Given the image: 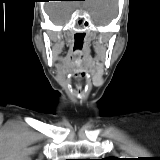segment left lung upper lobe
I'll return each instance as SVG.
<instances>
[{
    "mask_svg": "<svg viewBox=\"0 0 160 160\" xmlns=\"http://www.w3.org/2000/svg\"><path fill=\"white\" fill-rule=\"evenodd\" d=\"M103 160H119L118 158H104Z\"/></svg>",
    "mask_w": 160,
    "mask_h": 160,
    "instance_id": "obj_1",
    "label": "left lung upper lobe"
}]
</instances>
